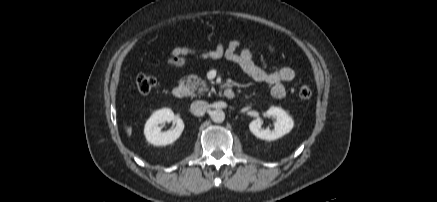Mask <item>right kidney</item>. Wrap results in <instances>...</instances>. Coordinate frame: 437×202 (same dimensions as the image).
Segmentation results:
<instances>
[{"mask_svg": "<svg viewBox=\"0 0 437 202\" xmlns=\"http://www.w3.org/2000/svg\"><path fill=\"white\" fill-rule=\"evenodd\" d=\"M165 122H172L175 127L166 132H162L159 125ZM183 130V120L175 116L171 109L164 108L154 112L147 120L144 134L149 143L155 146H163L176 141Z\"/></svg>", "mask_w": 437, "mask_h": 202, "instance_id": "right-kidney-1", "label": "right kidney"}]
</instances>
